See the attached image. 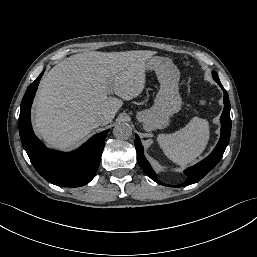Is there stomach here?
Listing matches in <instances>:
<instances>
[{"label": "stomach", "mask_w": 257, "mask_h": 257, "mask_svg": "<svg viewBox=\"0 0 257 257\" xmlns=\"http://www.w3.org/2000/svg\"><path fill=\"white\" fill-rule=\"evenodd\" d=\"M146 69L154 70L160 82L154 105L137 114L146 131L167 126L169 117L181 109L182 101L178 92L179 71L167 57H151L146 61Z\"/></svg>", "instance_id": "obj_1"}]
</instances>
